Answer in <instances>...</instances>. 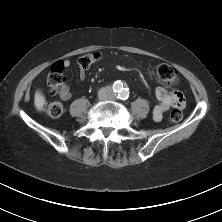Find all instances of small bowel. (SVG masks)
<instances>
[{
    "label": "small bowel",
    "mask_w": 222,
    "mask_h": 222,
    "mask_svg": "<svg viewBox=\"0 0 222 222\" xmlns=\"http://www.w3.org/2000/svg\"><path fill=\"white\" fill-rule=\"evenodd\" d=\"M65 66H69V62H64ZM148 72L156 78L155 83H161V76L157 74L153 68H149ZM79 77L81 80L86 78V71L82 68L79 69ZM62 100L67 101L71 99L72 94L70 92L69 86L67 84L63 85V92L60 94ZM156 97L159 103L154 107L152 115L155 121H161L165 112L171 108H181L184 106L185 97L181 91L171 90L168 91L162 87L156 89Z\"/></svg>",
    "instance_id": "small-bowel-1"
}]
</instances>
